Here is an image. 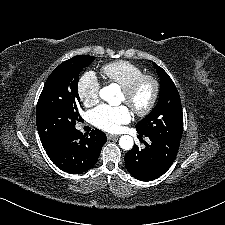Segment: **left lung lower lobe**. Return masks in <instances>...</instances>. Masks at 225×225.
Returning <instances> with one entry per match:
<instances>
[{
    "mask_svg": "<svg viewBox=\"0 0 225 225\" xmlns=\"http://www.w3.org/2000/svg\"><path fill=\"white\" fill-rule=\"evenodd\" d=\"M150 142L145 148L137 145L126 153L125 165L129 173L138 180L152 181L163 175L174 162L180 141L165 135H147Z\"/></svg>",
    "mask_w": 225,
    "mask_h": 225,
    "instance_id": "obj_1",
    "label": "left lung lower lobe"
}]
</instances>
